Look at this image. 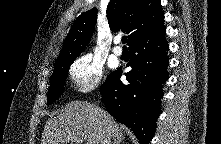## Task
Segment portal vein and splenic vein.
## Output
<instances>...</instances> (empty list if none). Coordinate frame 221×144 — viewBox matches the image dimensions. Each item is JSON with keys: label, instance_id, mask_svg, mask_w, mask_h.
Instances as JSON below:
<instances>
[{"label": "portal vein and splenic vein", "instance_id": "18ae733b", "mask_svg": "<svg viewBox=\"0 0 221 144\" xmlns=\"http://www.w3.org/2000/svg\"><path fill=\"white\" fill-rule=\"evenodd\" d=\"M75 142H77V143H80L82 140L80 139V138H78V137H73L72 138ZM71 139V140H72Z\"/></svg>", "mask_w": 221, "mask_h": 144}]
</instances>
